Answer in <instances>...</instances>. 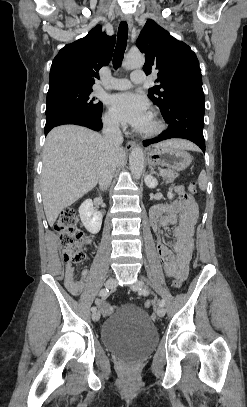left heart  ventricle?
Instances as JSON below:
<instances>
[{
    "label": "left heart ventricle",
    "instance_id": "left-heart-ventricle-1",
    "mask_svg": "<svg viewBox=\"0 0 247 407\" xmlns=\"http://www.w3.org/2000/svg\"><path fill=\"white\" fill-rule=\"evenodd\" d=\"M152 127H153V121H152L151 117H149L147 122L141 128V130H148V129H151Z\"/></svg>",
    "mask_w": 247,
    "mask_h": 407
}]
</instances>
